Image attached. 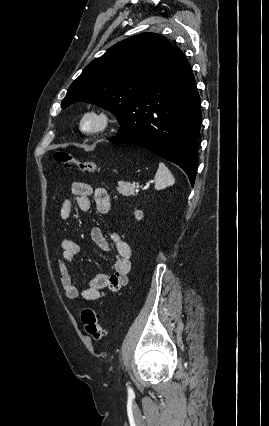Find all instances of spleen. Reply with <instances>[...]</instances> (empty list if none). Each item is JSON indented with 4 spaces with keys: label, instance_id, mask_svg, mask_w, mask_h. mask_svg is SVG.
Wrapping results in <instances>:
<instances>
[{
    "label": "spleen",
    "instance_id": "3e777b00",
    "mask_svg": "<svg viewBox=\"0 0 269 426\" xmlns=\"http://www.w3.org/2000/svg\"><path fill=\"white\" fill-rule=\"evenodd\" d=\"M174 182L175 179L169 169L163 163H159L158 170L155 174V189L162 190L173 185Z\"/></svg>",
    "mask_w": 269,
    "mask_h": 426
}]
</instances>
